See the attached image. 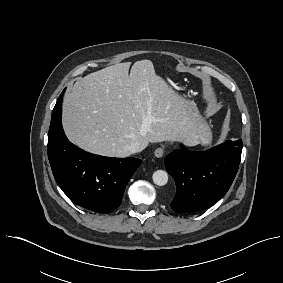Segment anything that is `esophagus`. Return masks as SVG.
<instances>
[{
    "label": "esophagus",
    "instance_id": "1",
    "mask_svg": "<svg viewBox=\"0 0 283 283\" xmlns=\"http://www.w3.org/2000/svg\"><path fill=\"white\" fill-rule=\"evenodd\" d=\"M155 157L161 158L164 155V148H157L154 152Z\"/></svg>",
    "mask_w": 283,
    "mask_h": 283
}]
</instances>
